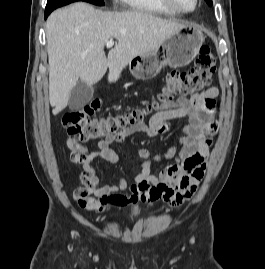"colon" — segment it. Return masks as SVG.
<instances>
[{
  "label": "colon",
  "mask_w": 265,
  "mask_h": 269,
  "mask_svg": "<svg viewBox=\"0 0 265 269\" xmlns=\"http://www.w3.org/2000/svg\"><path fill=\"white\" fill-rule=\"evenodd\" d=\"M216 70L215 57L208 46H203L194 66L188 71L173 70L166 78L157 100L145 109L133 110L125 114L111 115L101 119L92 118L102 101L95 99L84 107L70 111L63 117L62 123L68 140L89 141L119 135L126 128L143 121L150 112L175 96H190L207 89ZM150 198H165L166 190L161 186L148 188Z\"/></svg>",
  "instance_id": "1"
}]
</instances>
